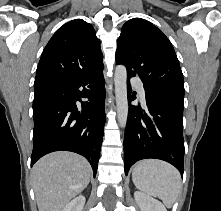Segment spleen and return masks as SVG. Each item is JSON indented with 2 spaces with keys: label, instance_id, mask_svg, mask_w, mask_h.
<instances>
[{
  "label": "spleen",
  "instance_id": "3e777b00",
  "mask_svg": "<svg viewBox=\"0 0 221 211\" xmlns=\"http://www.w3.org/2000/svg\"><path fill=\"white\" fill-rule=\"evenodd\" d=\"M132 180L140 191L157 197L171 207L181 191V177L176 168L160 160H142L132 172Z\"/></svg>",
  "mask_w": 221,
  "mask_h": 211
}]
</instances>
